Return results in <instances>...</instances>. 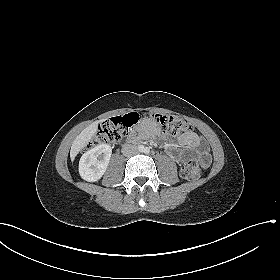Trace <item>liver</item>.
<instances>
[{"label":"liver","instance_id":"obj_1","mask_svg":"<svg viewBox=\"0 0 280 280\" xmlns=\"http://www.w3.org/2000/svg\"><path fill=\"white\" fill-rule=\"evenodd\" d=\"M101 121H96L86 127L82 132L75 138L72 143L70 150V158L74 161L77 154L88 144L91 138L96 134L98 130V123Z\"/></svg>","mask_w":280,"mask_h":280}]
</instances>
